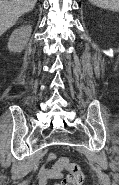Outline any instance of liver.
I'll return each mask as SVG.
<instances>
[{"mask_svg":"<svg viewBox=\"0 0 119 185\" xmlns=\"http://www.w3.org/2000/svg\"><path fill=\"white\" fill-rule=\"evenodd\" d=\"M37 0H0V36L23 14L34 9Z\"/></svg>","mask_w":119,"mask_h":185,"instance_id":"obj_1","label":"liver"}]
</instances>
